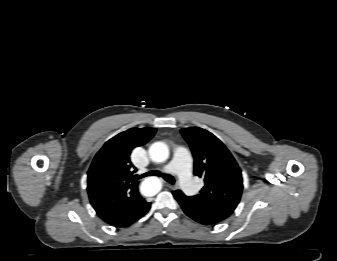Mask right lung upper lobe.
<instances>
[{"label":"right lung upper lobe","mask_w":337,"mask_h":261,"mask_svg":"<svg viewBox=\"0 0 337 261\" xmlns=\"http://www.w3.org/2000/svg\"><path fill=\"white\" fill-rule=\"evenodd\" d=\"M155 128H131L105 143L88 171V195L97 215L109 224L138 214L145 200L138 192L136 172L130 161L131 151L146 144Z\"/></svg>","instance_id":"right-lung-upper-lobe-1"}]
</instances>
